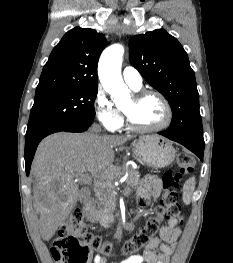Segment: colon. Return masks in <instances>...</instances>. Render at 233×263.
I'll use <instances>...</instances> for the list:
<instances>
[{"instance_id": "obj_1", "label": "colon", "mask_w": 233, "mask_h": 263, "mask_svg": "<svg viewBox=\"0 0 233 263\" xmlns=\"http://www.w3.org/2000/svg\"><path fill=\"white\" fill-rule=\"evenodd\" d=\"M192 164L193 160L189 154H178L175 170L168 171L163 176L164 196L156 216L149 219L138 233L125 242L121 250L122 255L131 257L145 249L158 232L159 224L163 219H176L178 223H182L183 214L178 203V183L191 172ZM114 252L112 243L87 229L81 210H74L71 213L51 249L57 263H92V258L96 254L108 257Z\"/></svg>"}]
</instances>
